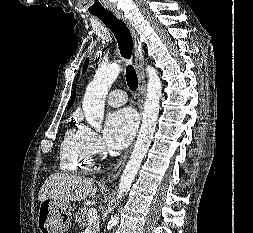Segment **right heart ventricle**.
Instances as JSON below:
<instances>
[{
  "label": "right heart ventricle",
  "instance_id": "1",
  "mask_svg": "<svg viewBox=\"0 0 253 233\" xmlns=\"http://www.w3.org/2000/svg\"><path fill=\"white\" fill-rule=\"evenodd\" d=\"M93 153L84 128L68 129L61 142L59 162L62 170L80 173L88 170Z\"/></svg>",
  "mask_w": 253,
  "mask_h": 233
}]
</instances>
